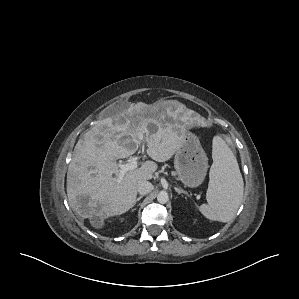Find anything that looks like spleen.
<instances>
[{"label":"spleen","instance_id":"1","mask_svg":"<svg viewBox=\"0 0 299 299\" xmlns=\"http://www.w3.org/2000/svg\"><path fill=\"white\" fill-rule=\"evenodd\" d=\"M212 158L206 194L208 204H202L199 210L212 221L226 223L235 216L242 202L243 178L234 153L220 136L213 139Z\"/></svg>","mask_w":299,"mask_h":299}]
</instances>
